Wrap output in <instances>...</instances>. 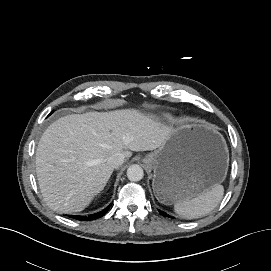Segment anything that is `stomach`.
<instances>
[{
    "instance_id": "0dacf381",
    "label": "stomach",
    "mask_w": 271,
    "mask_h": 271,
    "mask_svg": "<svg viewBox=\"0 0 271 271\" xmlns=\"http://www.w3.org/2000/svg\"><path fill=\"white\" fill-rule=\"evenodd\" d=\"M153 170L152 187L160 203L193 198L221 183L229 153L225 139L205 123H182L144 158Z\"/></svg>"
}]
</instances>
